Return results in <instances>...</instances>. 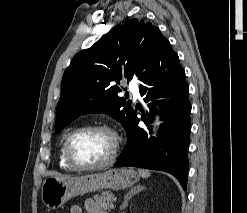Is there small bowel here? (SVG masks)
<instances>
[{
    "instance_id": "c3829d8e",
    "label": "small bowel",
    "mask_w": 247,
    "mask_h": 213,
    "mask_svg": "<svg viewBox=\"0 0 247 213\" xmlns=\"http://www.w3.org/2000/svg\"><path fill=\"white\" fill-rule=\"evenodd\" d=\"M70 213H84L83 209L79 205H73L70 208ZM85 213H106L101 207L93 200H87L85 202Z\"/></svg>"
}]
</instances>
